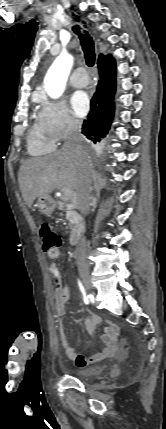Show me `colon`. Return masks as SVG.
<instances>
[{
    "label": "colon",
    "instance_id": "obj_1",
    "mask_svg": "<svg viewBox=\"0 0 166 429\" xmlns=\"http://www.w3.org/2000/svg\"><path fill=\"white\" fill-rule=\"evenodd\" d=\"M39 231L44 251L49 252L61 245V237L52 229L48 222H41Z\"/></svg>",
    "mask_w": 166,
    "mask_h": 429
}]
</instances>
